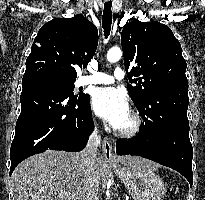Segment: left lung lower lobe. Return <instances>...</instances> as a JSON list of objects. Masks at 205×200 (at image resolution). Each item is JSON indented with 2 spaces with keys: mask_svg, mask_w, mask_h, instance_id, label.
<instances>
[{
  "mask_svg": "<svg viewBox=\"0 0 205 200\" xmlns=\"http://www.w3.org/2000/svg\"><path fill=\"white\" fill-rule=\"evenodd\" d=\"M188 87L155 89L149 99L152 118L131 141L118 140V155H138L181 173L192 186L193 148L189 139ZM160 108V109H159ZM156 113H152V110Z\"/></svg>",
  "mask_w": 205,
  "mask_h": 200,
  "instance_id": "1",
  "label": "left lung lower lobe"
}]
</instances>
